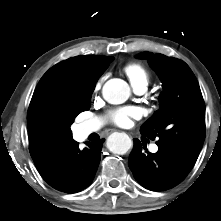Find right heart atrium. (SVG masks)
Listing matches in <instances>:
<instances>
[{"instance_id":"right-heart-atrium-1","label":"right heart atrium","mask_w":221,"mask_h":221,"mask_svg":"<svg viewBox=\"0 0 221 221\" xmlns=\"http://www.w3.org/2000/svg\"><path fill=\"white\" fill-rule=\"evenodd\" d=\"M100 85H101V82L99 81V82L97 83V85H96V88H99Z\"/></svg>"}]
</instances>
